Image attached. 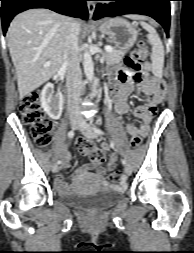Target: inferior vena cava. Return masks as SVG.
I'll return each instance as SVG.
<instances>
[{
  "mask_svg": "<svg viewBox=\"0 0 194 253\" xmlns=\"http://www.w3.org/2000/svg\"><path fill=\"white\" fill-rule=\"evenodd\" d=\"M65 44L63 64L66 67L67 106L70 119L81 120L80 96L82 85V73L80 68V55L78 37L80 28L73 18H67L65 22Z\"/></svg>",
  "mask_w": 194,
  "mask_h": 253,
  "instance_id": "obj_1",
  "label": "inferior vena cava"
}]
</instances>
